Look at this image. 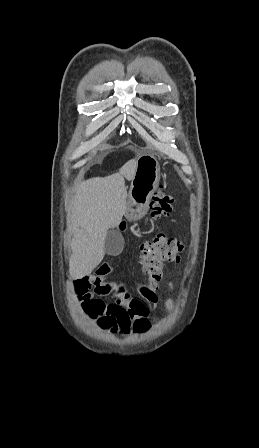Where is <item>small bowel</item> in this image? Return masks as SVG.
<instances>
[{
  "instance_id": "1",
  "label": "small bowel",
  "mask_w": 259,
  "mask_h": 448,
  "mask_svg": "<svg viewBox=\"0 0 259 448\" xmlns=\"http://www.w3.org/2000/svg\"><path fill=\"white\" fill-rule=\"evenodd\" d=\"M111 267L103 263L94 272L82 277L73 284V291L84 313L100 328L111 333H141L151 327L150 316L159 303V297L150 287H142L140 296L134 297L121 285L108 283L105 276ZM170 289L173 282H169ZM113 294L115 301L106 302L96 295ZM168 311L174 309V301H165Z\"/></svg>"
}]
</instances>
